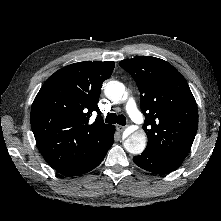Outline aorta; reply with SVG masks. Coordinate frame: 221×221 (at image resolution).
<instances>
[{"instance_id":"obj_1","label":"aorta","mask_w":221,"mask_h":221,"mask_svg":"<svg viewBox=\"0 0 221 221\" xmlns=\"http://www.w3.org/2000/svg\"><path fill=\"white\" fill-rule=\"evenodd\" d=\"M106 97L118 102L127 99V92L123 83L119 81H109L104 88ZM147 137L143 130L135 131L125 141L124 148L131 154H141L146 147Z\"/></svg>"}]
</instances>
